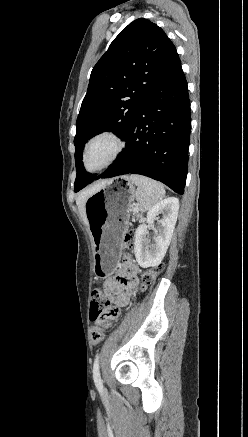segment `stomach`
Listing matches in <instances>:
<instances>
[{"mask_svg": "<svg viewBox=\"0 0 248 437\" xmlns=\"http://www.w3.org/2000/svg\"><path fill=\"white\" fill-rule=\"evenodd\" d=\"M134 193L130 178L122 176L106 182L85 202L98 277L112 275L115 271L122 238L128 228Z\"/></svg>", "mask_w": 248, "mask_h": 437, "instance_id": "1", "label": "stomach"}]
</instances>
